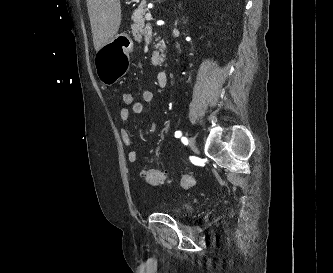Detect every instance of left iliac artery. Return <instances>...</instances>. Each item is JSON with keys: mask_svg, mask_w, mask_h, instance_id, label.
I'll return each instance as SVG.
<instances>
[{"mask_svg": "<svg viewBox=\"0 0 333 273\" xmlns=\"http://www.w3.org/2000/svg\"><path fill=\"white\" fill-rule=\"evenodd\" d=\"M181 136H182L181 131H176V132H175V137H176V138H179V137H181ZM181 140H182V142H183L184 144H187V143H188V140H187L186 137H182Z\"/></svg>", "mask_w": 333, "mask_h": 273, "instance_id": "1", "label": "left iliac artery"}]
</instances>
